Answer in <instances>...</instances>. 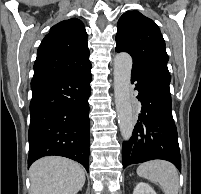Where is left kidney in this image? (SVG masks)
Masks as SVG:
<instances>
[{
    "label": "left kidney",
    "mask_w": 201,
    "mask_h": 194,
    "mask_svg": "<svg viewBox=\"0 0 201 194\" xmlns=\"http://www.w3.org/2000/svg\"><path fill=\"white\" fill-rule=\"evenodd\" d=\"M133 194H157L147 183L140 182L136 185Z\"/></svg>",
    "instance_id": "left-kidney-1"
}]
</instances>
